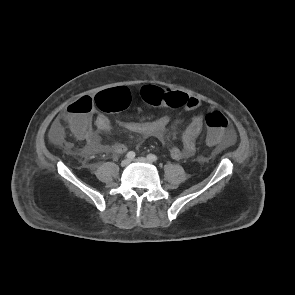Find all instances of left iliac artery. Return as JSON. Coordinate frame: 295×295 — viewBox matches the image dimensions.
Masks as SVG:
<instances>
[{
	"label": "left iliac artery",
	"instance_id": "44dca946",
	"mask_svg": "<svg viewBox=\"0 0 295 295\" xmlns=\"http://www.w3.org/2000/svg\"><path fill=\"white\" fill-rule=\"evenodd\" d=\"M147 158H148V160H150V161H157V156L156 155H154V154H149V155H147Z\"/></svg>",
	"mask_w": 295,
	"mask_h": 295
}]
</instances>
